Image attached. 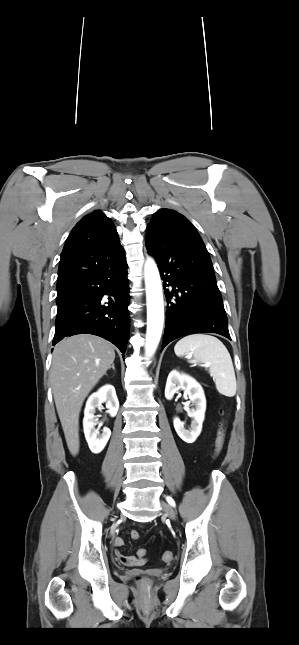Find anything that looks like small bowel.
<instances>
[{
	"label": "small bowel",
	"mask_w": 299,
	"mask_h": 645,
	"mask_svg": "<svg viewBox=\"0 0 299 645\" xmlns=\"http://www.w3.org/2000/svg\"><path fill=\"white\" fill-rule=\"evenodd\" d=\"M114 545L116 548H120L124 545V540L121 537H116L114 540ZM116 558L117 560L127 566H133V565H139L143 563L144 559L135 557V556H130V555H125L121 553L119 550H116Z\"/></svg>",
	"instance_id": "obj_1"
}]
</instances>
